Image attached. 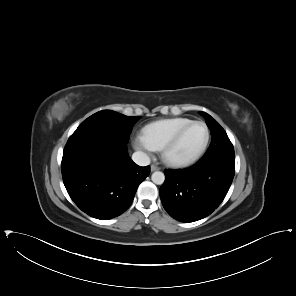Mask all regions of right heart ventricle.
I'll list each match as a JSON object with an SVG mask.
<instances>
[{
  "label": "right heart ventricle",
  "mask_w": 296,
  "mask_h": 296,
  "mask_svg": "<svg viewBox=\"0 0 296 296\" xmlns=\"http://www.w3.org/2000/svg\"><path fill=\"white\" fill-rule=\"evenodd\" d=\"M190 121L192 120L184 117L158 120L144 127L143 136L159 150L177 130Z\"/></svg>",
  "instance_id": "e07e8e85"
}]
</instances>
